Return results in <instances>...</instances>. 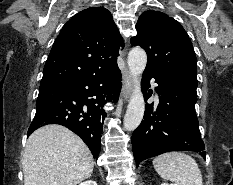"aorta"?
Returning <instances> with one entry per match:
<instances>
[{
    "label": "aorta",
    "instance_id": "aorta-1",
    "mask_svg": "<svg viewBox=\"0 0 233 185\" xmlns=\"http://www.w3.org/2000/svg\"><path fill=\"white\" fill-rule=\"evenodd\" d=\"M147 64L146 52L133 48L128 54V67L133 79V92L124 117L123 126L127 131L135 130L141 123L145 111V101L141 91L140 79Z\"/></svg>",
    "mask_w": 233,
    "mask_h": 185
}]
</instances>
